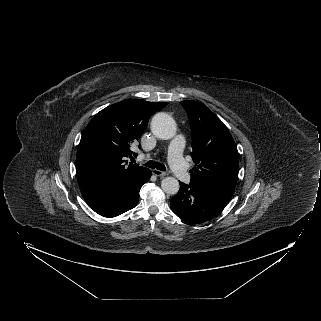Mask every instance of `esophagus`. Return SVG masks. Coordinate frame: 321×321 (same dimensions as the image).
<instances>
[{"mask_svg":"<svg viewBox=\"0 0 321 321\" xmlns=\"http://www.w3.org/2000/svg\"><path fill=\"white\" fill-rule=\"evenodd\" d=\"M152 174H153V175H156V176H161V177H164V176L167 175L166 172L160 171V170H158V169H153V170H152Z\"/></svg>","mask_w":321,"mask_h":321,"instance_id":"34e87169","label":"esophagus"}]
</instances>
